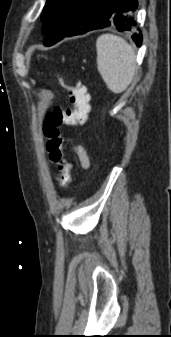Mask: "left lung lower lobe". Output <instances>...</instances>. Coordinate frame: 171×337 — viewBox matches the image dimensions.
<instances>
[{"instance_id": "1", "label": "left lung lower lobe", "mask_w": 171, "mask_h": 337, "mask_svg": "<svg viewBox=\"0 0 171 337\" xmlns=\"http://www.w3.org/2000/svg\"><path fill=\"white\" fill-rule=\"evenodd\" d=\"M137 6V0H85L76 24L64 37L106 27L130 31L136 25L133 14ZM131 37L141 46V34L134 33Z\"/></svg>"}]
</instances>
